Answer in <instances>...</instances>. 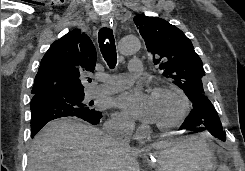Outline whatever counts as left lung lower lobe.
Masks as SVG:
<instances>
[{
    "instance_id": "0a47b994",
    "label": "left lung lower lobe",
    "mask_w": 245,
    "mask_h": 171,
    "mask_svg": "<svg viewBox=\"0 0 245 171\" xmlns=\"http://www.w3.org/2000/svg\"><path fill=\"white\" fill-rule=\"evenodd\" d=\"M191 102L193 104V109L186 117L179 130L194 132L209 130L216 138L226 141V135L222 130L220 118L206 95H199Z\"/></svg>"
}]
</instances>
